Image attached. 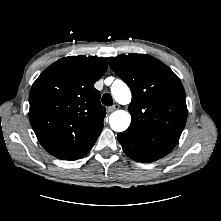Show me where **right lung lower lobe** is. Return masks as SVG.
<instances>
[{"label":"right lung lower lobe","instance_id":"98d812e1","mask_svg":"<svg viewBox=\"0 0 221 221\" xmlns=\"http://www.w3.org/2000/svg\"><path fill=\"white\" fill-rule=\"evenodd\" d=\"M96 141V140H95ZM95 141L93 143H91L87 148H85L83 151H81L80 153L68 158L67 160H76L79 159L81 157H83L84 155H86L90 149L92 148V146L94 145Z\"/></svg>","mask_w":221,"mask_h":221}]
</instances>
